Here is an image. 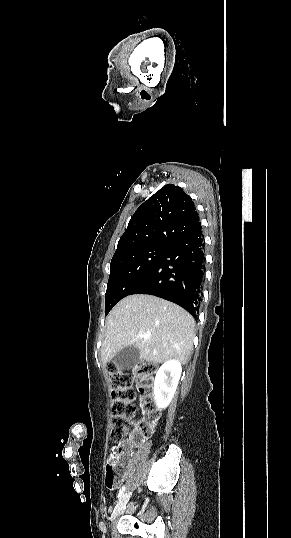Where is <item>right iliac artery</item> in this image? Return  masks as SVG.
I'll use <instances>...</instances> for the list:
<instances>
[{
	"mask_svg": "<svg viewBox=\"0 0 291 538\" xmlns=\"http://www.w3.org/2000/svg\"><path fill=\"white\" fill-rule=\"evenodd\" d=\"M125 491V486H123L120 491H119V494H118V498L121 497V495L123 494V492Z\"/></svg>",
	"mask_w": 291,
	"mask_h": 538,
	"instance_id": "1",
	"label": "right iliac artery"
}]
</instances>
